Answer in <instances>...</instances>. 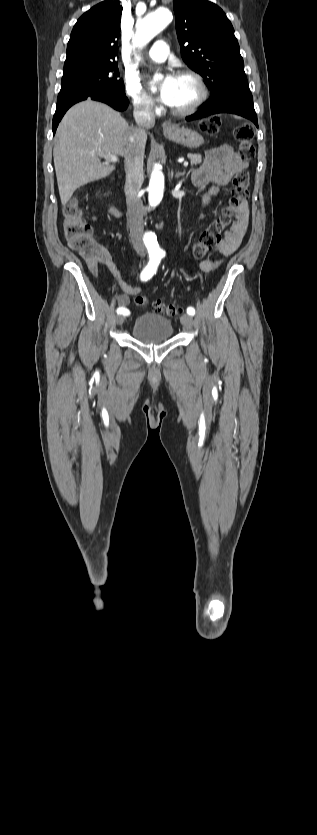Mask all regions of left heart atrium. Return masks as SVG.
I'll use <instances>...</instances> for the list:
<instances>
[{
	"label": "left heart atrium",
	"mask_w": 317,
	"mask_h": 835,
	"mask_svg": "<svg viewBox=\"0 0 317 835\" xmlns=\"http://www.w3.org/2000/svg\"><path fill=\"white\" fill-rule=\"evenodd\" d=\"M175 87L176 77L171 74H167L159 85V97L163 103L171 105L175 93Z\"/></svg>",
	"instance_id": "39dd6f15"
}]
</instances>
